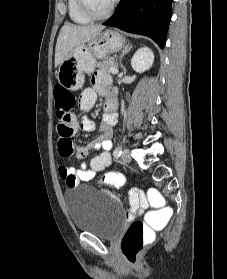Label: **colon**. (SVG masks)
Returning a JSON list of instances; mask_svg holds the SVG:
<instances>
[{"label":"colon","mask_w":227,"mask_h":279,"mask_svg":"<svg viewBox=\"0 0 227 279\" xmlns=\"http://www.w3.org/2000/svg\"><path fill=\"white\" fill-rule=\"evenodd\" d=\"M76 101L74 94L63 88L57 89L56 115L60 121L59 129L63 136H69L73 133L72 128V111ZM67 146L69 144L67 143ZM100 182L107 186L121 187L126 183L125 175L120 171L110 172L103 175ZM76 185L74 179L71 180V186ZM136 195L144 196V192L136 191ZM147 194L150 196L153 203L162 204L165 201V196L154 190L149 189ZM173 216V210L169 207L159 208L155 211L147 213L146 218L152 222L166 221ZM153 234V229L150 224L142 220H134L128 227L122 243V251L126 260L135 264L142 250L144 242Z\"/></svg>","instance_id":"1"}]
</instances>
